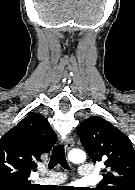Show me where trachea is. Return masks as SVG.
<instances>
[{"label": "trachea", "instance_id": "obj_1", "mask_svg": "<svg viewBox=\"0 0 135 190\" xmlns=\"http://www.w3.org/2000/svg\"><path fill=\"white\" fill-rule=\"evenodd\" d=\"M57 164H60L65 169H69V165L65 158L63 145H57L53 148L51 160L48 165L49 169L54 168Z\"/></svg>", "mask_w": 135, "mask_h": 190}]
</instances>
